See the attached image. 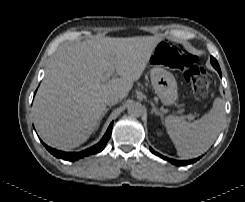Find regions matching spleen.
<instances>
[{
  "label": "spleen",
  "mask_w": 245,
  "mask_h": 202,
  "mask_svg": "<svg viewBox=\"0 0 245 202\" xmlns=\"http://www.w3.org/2000/svg\"><path fill=\"white\" fill-rule=\"evenodd\" d=\"M224 118V101L216 98L212 109L199 120L188 123L182 117L170 115L164 119V125L177 154L188 159L210 148L221 130Z\"/></svg>",
  "instance_id": "obj_1"
}]
</instances>
